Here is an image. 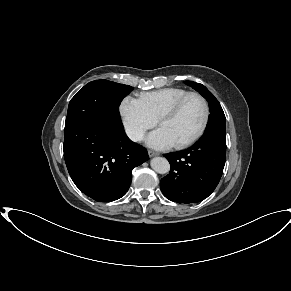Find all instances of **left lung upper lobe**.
Segmentation results:
<instances>
[{
  "mask_svg": "<svg viewBox=\"0 0 291 291\" xmlns=\"http://www.w3.org/2000/svg\"><path fill=\"white\" fill-rule=\"evenodd\" d=\"M186 84L198 91L208 101L210 116L204 133L226 132V118L220 103L214 95L202 84L192 81H186Z\"/></svg>",
  "mask_w": 291,
  "mask_h": 291,
  "instance_id": "5c2ea615",
  "label": "left lung upper lobe"
}]
</instances>
